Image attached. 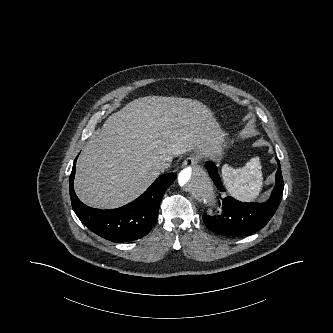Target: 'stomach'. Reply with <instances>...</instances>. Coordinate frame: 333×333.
<instances>
[{
    "mask_svg": "<svg viewBox=\"0 0 333 333\" xmlns=\"http://www.w3.org/2000/svg\"><path fill=\"white\" fill-rule=\"evenodd\" d=\"M218 141H221L222 140V135L221 134H218Z\"/></svg>",
    "mask_w": 333,
    "mask_h": 333,
    "instance_id": "1",
    "label": "stomach"
}]
</instances>
